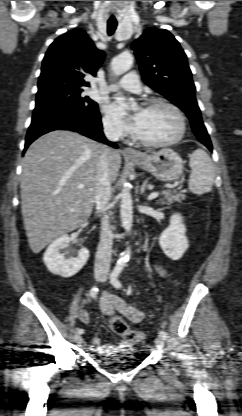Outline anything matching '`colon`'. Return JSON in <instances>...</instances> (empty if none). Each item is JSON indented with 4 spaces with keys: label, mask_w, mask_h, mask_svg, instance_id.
<instances>
[{
    "label": "colon",
    "mask_w": 242,
    "mask_h": 416,
    "mask_svg": "<svg viewBox=\"0 0 242 416\" xmlns=\"http://www.w3.org/2000/svg\"><path fill=\"white\" fill-rule=\"evenodd\" d=\"M110 329L128 342H140L145 338L143 332L131 330L126 321L119 317L113 316L109 321Z\"/></svg>",
    "instance_id": "obj_1"
}]
</instances>
